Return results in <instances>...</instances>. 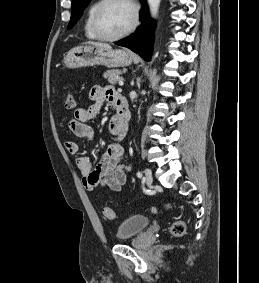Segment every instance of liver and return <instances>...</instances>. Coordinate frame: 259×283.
<instances>
[{"mask_svg": "<svg viewBox=\"0 0 259 283\" xmlns=\"http://www.w3.org/2000/svg\"><path fill=\"white\" fill-rule=\"evenodd\" d=\"M88 44H91L95 47H102V48H111V46L109 44L106 43H98V42H88Z\"/></svg>", "mask_w": 259, "mask_h": 283, "instance_id": "liver-1", "label": "liver"}]
</instances>
